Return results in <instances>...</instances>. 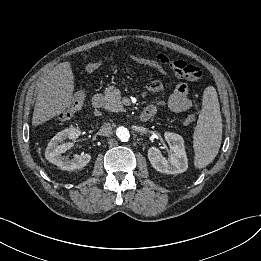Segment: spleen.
Segmentation results:
<instances>
[{
    "label": "spleen",
    "mask_w": 261,
    "mask_h": 261,
    "mask_svg": "<svg viewBox=\"0 0 261 261\" xmlns=\"http://www.w3.org/2000/svg\"><path fill=\"white\" fill-rule=\"evenodd\" d=\"M202 103L193 135L194 165L198 169L206 167L214 160L222 139V118L215 88L205 89Z\"/></svg>",
    "instance_id": "spleen-1"
}]
</instances>
